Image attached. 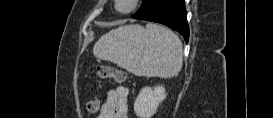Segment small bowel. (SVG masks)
<instances>
[{"label":"small bowel","mask_w":273,"mask_h":118,"mask_svg":"<svg viewBox=\"0 0 273 118\" xmlns=\"http://www.w3.org/2000/svg\"><path fill=\"white\" fill-rule=\"evenodd\" d=\"M129 90L124 86L109 90L99 118H127Z\"/></svg>","instance_id":"c3829d8e"}]
</instances>
